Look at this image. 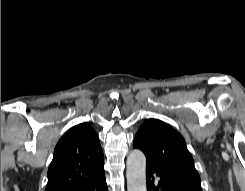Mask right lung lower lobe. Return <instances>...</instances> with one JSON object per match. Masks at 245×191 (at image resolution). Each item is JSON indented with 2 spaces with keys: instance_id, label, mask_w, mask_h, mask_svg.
I'll return each mask as SVG.
<instances>
[{
  "instance_id": "98d812e1",
  "label": "right lung lower lobe",
  "mask_w": 245,
  "mask_h": 191,
  "mask_svg": "<svg viewBox=\"0 0 245 191\" xmlns=\"http://www.w3.org/2000/svg\"><path fill=\"white\" fill-rule=\"evenodd\" d=\"M69 191H108L105 176H98Z\"/></svg>"
}]
</instances>
